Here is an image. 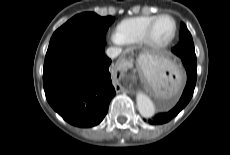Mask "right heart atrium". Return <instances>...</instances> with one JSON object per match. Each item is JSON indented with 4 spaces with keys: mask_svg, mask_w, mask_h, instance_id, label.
<instances>
[{
    "mask_svg": "<svg viewBox=\"0 0 230 155\" xmlns=\"http://www.w3.org/2000/svg\"><path fill=\"white\" fill-rule=\"evenodd\" d=\"M109 38H110V41H111L112 43H114V44H117V45L122 44V43L119 41V39L117 38V36L115 35V33L112 34V35H110Z\"/></svg>",
    "mask_w": 230,
    "mask_h": 155,
    "instance_id": "right-heart-atrium-1",
    "label": "right heart atrium"
}]
</instances>
